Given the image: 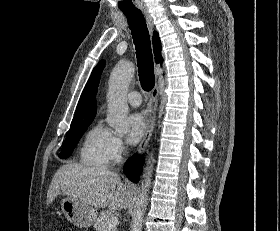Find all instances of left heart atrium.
Wrapping results in <instances>:
<instances>
[{
    "instance_id": "left-heart-atrium-1",
    "label": "left heart atrium",
    "mask_w": 280,
    "mask_h": 231,
    "mask_svg": "<svg viewBox=\"0 0 280 231\" xmlns=\"http://www.w3.org/2000/svg\"><path fill=\"white\" fill-rule=\"evenodd\" d=\"M128 135L127 139L130 144H137L144 136L146 124L144 118L134 113L128 117Z\"/></svg>"
}]
</instances>
